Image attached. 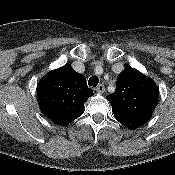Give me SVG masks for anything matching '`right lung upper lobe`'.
Wrapping results in <instances>:
<instances>
[{
    "label": "right lung upper lobe",
    "mask_w": 175,
    "mask_h": 175,
    "mask_svg": "<svg viewBox=\"0 0 175 175\" xmlns=\"http://www.w3.org/2000/svg\"><path fill=\"white\" fill-rule=\"evenodd\" d=\"M92 95L85 76L69 65L49 72L37 86V100L42 113L63 126L83 114L84 103Z\"/></svg>",
    "instance_id": "obj_1"
}]
</instances>
